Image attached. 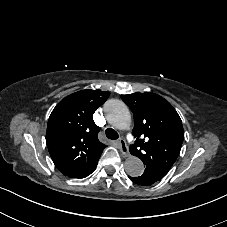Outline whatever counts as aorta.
<instances>
[{
  "instance_id": "aorta-1",
  "label": "aorta",
  "mask_w": 227,
  "mask_h": 227,
  "mask_svg": "<svg viewBox=\"0 0 227 227\" xmlns=\"http://www.w3.org/2000/svg\"><path fill=\"white\" fill-rule=\"evenodd\" d=\"M104 111L112 126L117 129H127L131 124V114L120 100L112 99L105 103ZM125 171L129 176L139 177L144 172V163L136 156H130L125 161Z\"/></svg>"
}]
</instances>
